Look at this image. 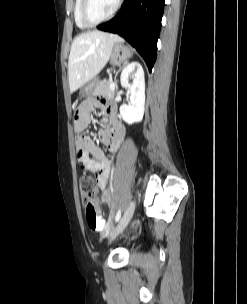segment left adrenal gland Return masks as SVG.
<instances>
[{
    "mask_svg": "<svg viewBox=\"0 0 247 304\" xmlns=\"http://www.w3.org/2000/svg\"><path fill=\"white\" fill-rule=\"evenodd\" d=\"M127 62H125L124 63V65L126 64ZM120 70H121V68L117 71V73H116V75H115V77H114V81H115V85H116V88H118V85H117V75H118V73L120 72Z\"/></svg>",
    "mask_w": 247,
    "mask_h": 304,
    "instance_id": "obj_1",
    "label": "left adrenal gland"
}]
</instances>
